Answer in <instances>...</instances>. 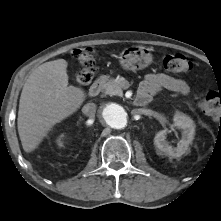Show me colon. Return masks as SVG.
Returning <instances> with one entry per match:
<instances>
[{
  "label": "colon",
  "instance_id": "5ec220e1",
  "mask_svg": "<svg viewBox=\"0 0 221 221\" xmlns=\"http://www.w3.org/2000/svg\"><path fill=\"white\" fill-rule=\"evenodd\" d=\"M74 58L80 65V70L75 76L78 85H88L95 76L97 52L93 48H80L73 52ZM164 70L174 73H186L191 69V62L180 53L169 54L163 58ZM202 110L211 115L220 117L221 120V93L208 92L201 100Z\"/></svg>",
  "mask_w": 221,
  "mask_h": 221
}]
</instances>
